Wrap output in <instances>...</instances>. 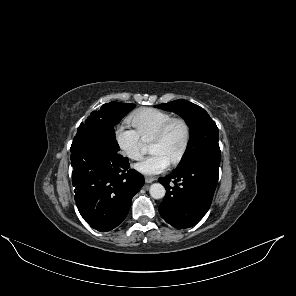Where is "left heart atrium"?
Instances as JSON below:
<instances>
[{"label":"left heart atrium","mask_w":296,"mask_h":296,"mask_svg":"<svg viewBox=\"0 0 296 296\" xmlns=\"http://www.w3.org/2000/svg\"><path fill=\"white\" fill-rule=\"evenodd\" d=\"M170 160L161 152H154L147 158L135 165V168L146 175H155L165 171L169 165Z\"/></svg>","instance_id":"left-heart-atrium-1"}]
</instances>
